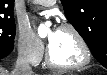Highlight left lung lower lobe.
Masks as SVG:
<instances>
[{"mask_svg":"<svg viewBox=\"0 0 107 75\" xmlns=\"http://www.w3.org/2000/svg\"><path fill=\"white\" fill-rule=\"evenodd\" d=\"M105 51L106 49L104 47H100L93 55L102 65H107Z\"/></svg>","mask_w":107,"mask_h":75,"instance_id":"obj_1","label":"left lung lower lobe"}]
</instances>
